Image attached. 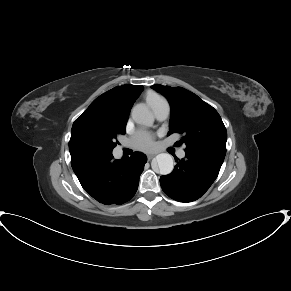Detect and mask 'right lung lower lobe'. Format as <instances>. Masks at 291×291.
Wrapping results in <instances>:
<instances>
[{
    "instance_id": "1",
    "label": "right lung lower lobe",
    "mask_w": 291,
    "mask_h": 291,
    "mask_svg": "<svg viewBox=\"0 0 291 291\" xmlns=\"http://www.w3.org/2000/svg\"><path fill=\"white\" fill-rule=\"evenodd\" d=\"M147 157L134 152L114 160L110 154L78 155L71 158L73 171L82 187L103 204H123L136 193Z\"/></svg>"
}]
</instances>
